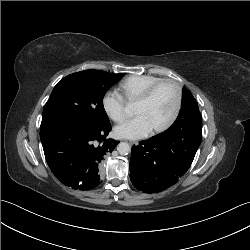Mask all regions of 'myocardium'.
Wrapping results in <instances>:
<instances>
[{
  "label": "myocardium",
  "instance_id": "1",
  "mask_svg": "<svg viewBox=\"0 0 250 250\" xmlns=\"http://www.w3.org/2000/svg\"><path fill=\"white\" fill-rule=\"evenodd\" d=\"M164 84H170L174 87L175 93H176V102H175V108L173 111V114L171 117L166 121L164 124L160 125L159 127L153 129V134H159L167 129H169L177 120L181 107H182V88L178 82H176L173 79H161L157 81L156 83L152 84L150 87H148L137 99V102H147L149 101L155 92Z\"/></svg>",
  "mask_w": 250,
  "mask_h": 250
}]
</instances>
